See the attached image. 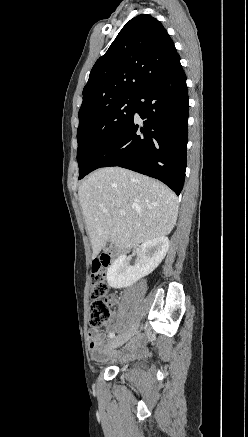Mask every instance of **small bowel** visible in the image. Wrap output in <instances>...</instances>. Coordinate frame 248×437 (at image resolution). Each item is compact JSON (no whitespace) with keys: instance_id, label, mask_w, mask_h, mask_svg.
I'll use <instances>...</instances> for the list:
<instances>
[{"instance_id":"small-bowel-1","label":"small bowel","mask_w":248,"mask_h":437,"mask_svg":"<svg viewBox=\"0 0 248 437\" xmlns=\"http://www.w3.org/2000/svg\"><path fill=\"white\" fill-rule=\"evenodd\" d=\"M117 298L115 296L110 297V303L116 304ZM107 329L111 331L110 333H113V325L110 324L107 326ZM109 333V334H110ZM145 342V339L143 336L138 335L136 336L131 344L125 349L126 355H134V354H141L144 352L143 350V344ZM89 346L92 352V357L95 360H104L108 355V344L106 342V339L104 335L97 329H93L89 332Z\"/></svg>"}]
</instances>
